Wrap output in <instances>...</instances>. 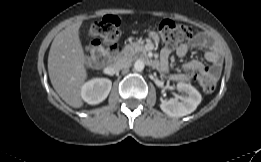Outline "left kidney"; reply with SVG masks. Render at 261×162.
<instances>
[{
	"mask_svg": "<svg viewBox=\"0 0 261 162\" xmlns=\"http://www.w3.org/2000/svg\"><path fill=\"white\" fill-rule=\"evenodd\" d=\"M177 90L184 92L187 96L181 101H162L160 104L162 111L171 117H182L194 112L201 103V94L191 84L182 82L177 84Z\"/></svg>",
	"mask_w": 261,
	"mask_h": 162,
	"instance_id": "left-kidney-1",
	"label": "left kidney"
}]
</instances>
